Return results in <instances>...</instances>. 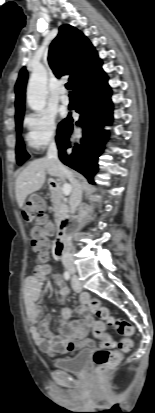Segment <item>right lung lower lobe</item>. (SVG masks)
<instances>
[{
	"instance_id": "obj_1",
	"label": "right lung lower lobe",
	"mask_w": 155,
	"mask_h": 413,
	"mask_svg": "<svg viewBox=\"0 0 155 413\" xmlns=\"http://www.w3.org/2000/svg\"><path fill=\"white\" fill-rule=\"evenodd\" d=\"M107 76L101 73L81 83L75 92L80 114L78 126L83 128L81 144H76L71 155H66V149L71 147L69 137L73 131V119L69 115L63 120L57 131L56 141L60 160L67 166L82 173L90 183L98 170V157L108 139V132L103 129L112 122L111 89Z\"/></svg>"
}]
</instances>
